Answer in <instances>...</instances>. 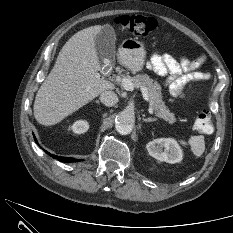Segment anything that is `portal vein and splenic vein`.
Returning a JSON list of instances; mask_svg holds the SVG:
<instances>
[{"instance_id":"18ae733b","label":"portal vein and splenic vein","mask_w":233,"mask_h":233,"mask_svg":"<svg viewBox=\"0 0 233 233\" xmlns=\"http://www.w3.org/2000/svg\"><path fill=\"white\" fill-rule=\"evenodd\" d=\"M121 85H122V87H123L125 90H127V91H132L133 88H134L132 82H131L129 79H127V78H123V79L121 80ZM141 91H142V94H143V98H144L146 101H148V100H149V97H148V93H147L146 88L141 87ZM148 111H149L150 114H153V113H154V112H153V108H152V106H151L150 104H149V107H148Z\"/></svg>"}]
</instances>
